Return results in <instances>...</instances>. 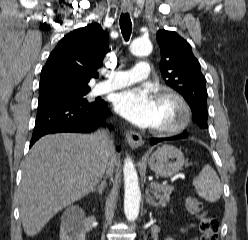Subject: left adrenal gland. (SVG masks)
<instances>
[{
    "label": "left adrenal gland",
    "mask_w": 248,
    "mask_h": 240,
    "mask_svg": "<svg viewBox=\"0 0 248 240\" xmlns=\"http://www.w3.org/2000/svg\"><path fill=\"white\" fill-rule=\"evenodd\" d=\"M146 203L157 208L159 204L150 196L149 189L146 190Z\"/></svg>",
    "instance_id": "obj_1"
}]
</instances>
